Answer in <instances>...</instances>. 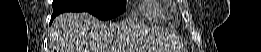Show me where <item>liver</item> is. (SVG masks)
Masks as SVG:
<instances>
[{"label":"liver","mask_w":261,"mask_h":52,"mask_svg":"<svg viewBox=\"0 0 261 52\" xmlns=\"http://www.w3.org/2000/svg\"><path fill=\"white\" fill-rule=\"evenodd\" d=\"M127 26L102 23L88 13H64L53 23L57 52H122Z\"/></svg>","instance_id":"liver-1"}]
</instances>
